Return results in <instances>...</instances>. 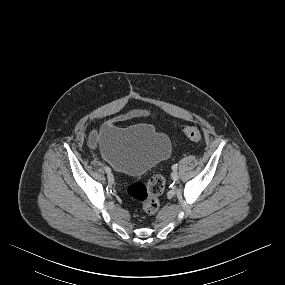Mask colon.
Returning a JSON list of instances; mask_svg holds the SVG:
<instances>
[{
	"label": "colon",
	"mask_w": 285,
	"mask_h": 285,
	"mask_svg": "<svg viewBox=\"0 0 285 285\" xmlns=\"http://www.w3.org/2000/svg\"><path fill=\"white\" fill-rule=\"evenodd\" d=\"M181 131L193 142H198L202 138L200 130L195 126H182ZM164 189V178L160 175H155L146 183L136 182L131 184L127 189V194L132 200L141 203L147 213L153 214L159 208V196Z\"/></svg>",
	"instance_id": "5ec220e1"
}]
</instances>
